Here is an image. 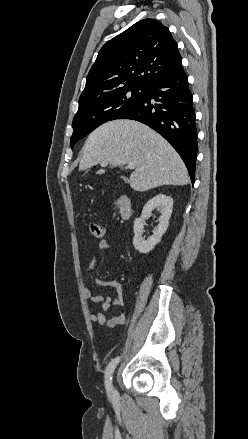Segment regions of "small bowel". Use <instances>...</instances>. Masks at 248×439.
<instances>
[{"instance_id":"obj_1","label":"small bowel","mask_w":248,"mask_h":439,"mask_svg":"<svg viewBox=\"0 0 248 439\" xmlns=\"http://www.w3.org/2000/svg\"><path fill=\"white\" fill-rule=\"evenodd\" d=\"M110 247L108 240H101L99 242V250L106 251ZM100 257L94 256L88 266V272L95 269L99 262ZM96 285L102 289L110 288L115 292V297L110 296L108 293L103 294H93L88 287L83 288V295L86 299L90 300L95 304H101L104 312H109L112 307H123L124 306V295L122 283L118 280H103L96 279ZM91 321L97 323L103 327H116L124 325L127 322V318L124 313L117 314L115 316L107 318L102 312L97 311L90 314Z\"/></svg>"}]
</instances>
